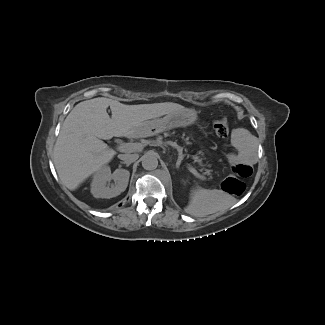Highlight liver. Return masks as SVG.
Here are the masks:
<instances>
[{"label":"liver","mask_w":325,"mask_h":325,"mask_svg":"<svg viewBox=\"0 0 325 325\" xmlns=\"http://www.w3.org/2000/svg\"><path fill=\"white\" fill-rule=\"evenodd\" d=\"M177 111L195 113L172 102L125 105L98 97L78 103L63 122L54 146L53 162L60 180L69 190H75L116 155L101 139L140 138L136 130L147 120Z\"/></svg>","instance_id":"6515ba94"}]
</instances>
